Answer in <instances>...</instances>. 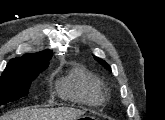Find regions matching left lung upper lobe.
Returning <instances> with one entry per match:
<instances>
[{
	"instance_id": "obj_1",
	"label": "left lung upper lobe",
	"mask_w": 165,
	"mask_h": 120,
	"mask_svg": "<svg viewBox=\"0 0 165 120\" xmlns=\"http://www.w3.org/2000/svg\"><path fill=\"white\" fill-rule=\"evenodd\" d=\"M96 61H98L99 63H101L106 69L110 70L111 71V68L110 66L105 62L103 61L102 59L98 58V57H94Z\"/></svg>"
}]
</instances>
